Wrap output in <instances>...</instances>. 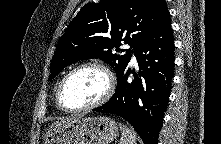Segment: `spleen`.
Listing matches in <instances>:
<instances>
[{
  "instance_id": "1",
  "label": "spleen",
  "mask_w": 221,
  "mask_h": 144,
  "mask_svg": "<svg viewBox=\"0 0 221 144\" xmlns=\"http://www.w3.org/2000/svg\"><path fill=\"white\" fill-rule=\"evenodd\" d=\"M122 137L120 144H136V135L127 126L119 123Z\"/></svg>"
}]
</instances>
